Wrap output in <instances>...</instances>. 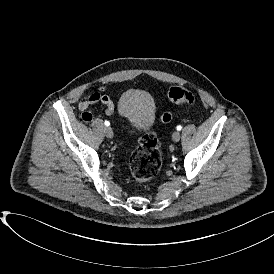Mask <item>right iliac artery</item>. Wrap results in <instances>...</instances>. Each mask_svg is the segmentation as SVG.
Segmentation results:
<instances>
[{"mask_svg": "<svg viewBox=\"0 0 274 274\" xmlns=\"http://www.w3.org/2000/svg\"><path fill=\"white\" fill-rule=\"evenodd\" d=\"M105 125H106V126H109V125H110V122H109V121H105Z\"/></svg>", "mask_w": 274, "mask_h": 274, "instance_id": "1", "label": "right iliac artery"}]
</instances>
